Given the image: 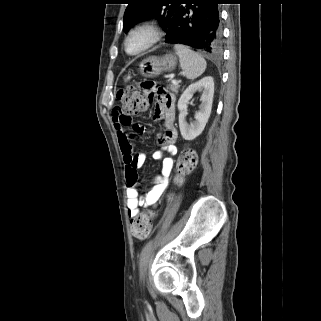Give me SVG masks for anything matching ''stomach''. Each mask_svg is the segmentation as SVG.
Returning <instances> with one entry per match:
<instances>
[{"mask_svg": "<svg viewBox=\"0 0 321 321\" xmlns=\"http://www.w3.org/2000/svg\"><path fill=\"white\" fill-rule=\"evenodd\" d=\"M177 65V59L172 54H166L162 57L151 56L140 63V73L144 77H154L163 71H172ZM131 75L125 76V81L131 80Z\"/></svg>", "mask_w": 321, "mask_h": 321, "instance_id": "obj_1", "label": "stomach"}]
</instances>
